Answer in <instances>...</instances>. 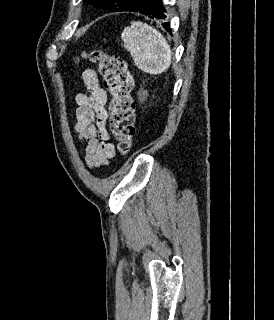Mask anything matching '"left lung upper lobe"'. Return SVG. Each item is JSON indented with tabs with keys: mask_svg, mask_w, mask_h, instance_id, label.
<instances>
[{
	"mask_svg": "<svg viewBox=\"0 0 274 320\" xmlns=\"http://www.w3.org/2000/svg\"><path fill=\"white\" fill-rule=\"evenodd\" d=\"M98 8L114 11H122L130 6L135 0H84Z\"/></svg>",
	"mask_w": 274,
	"mask_h": 320,
	"instance_id": "left-lung-upper-lobe-1",
	"label": "left lung upper lobe"
}]
</instances>
